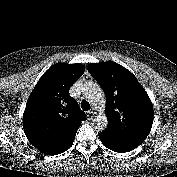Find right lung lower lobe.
I'll return each instance as SVG.
<instances>
[{
  "mask_svg": "<svg viewBox=\"0 0 177 177\" xmlns=\"http://www.w3.org/2000/svg\"><path fill=\"white\" fill-rule=\"evenodd\" d=\"M74 140V139H73ZM73 142H70L69 144L65 145L63 148L61 149H58L57 151H54V152H50L49 150L47 151L48 147H44L42 145H38L36 146L38 149L44 151L45 153L47 154H50V155H55V154H60L64 151H66L67 149H69L71 147Z\"/></svg>",
  "mask_w": 177,
  "mask_h": 177,
  "instance_id": "right-lung-lower-lobe-1",
  "label": "right lung lower lobe"
}]
</instances>
